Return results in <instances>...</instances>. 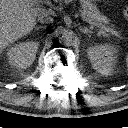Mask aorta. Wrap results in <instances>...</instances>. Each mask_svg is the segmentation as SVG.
Wrapping results in <instances>:
<instances>
[{"label":"aorta","instance_id":"obj_1","mask_svg":"<svg viewBox=\"0 0 128 128\" xmlns=\"http://www.w3.org/2000/svg\"><path fill=\"white\" fill-rule=\"evenodd\" d=\"M73 39V33L69 30H62L61 31V36H60V42L64 43L66 45L70 44V42Z\"/></svg>","mask_w":128,"mask_h":128}]
</instances>
